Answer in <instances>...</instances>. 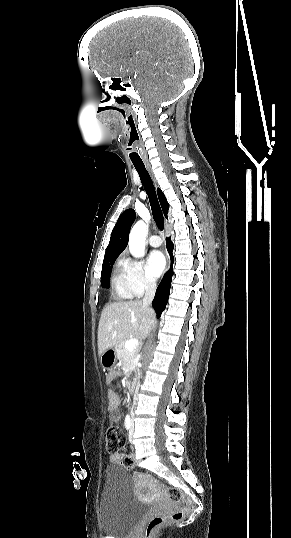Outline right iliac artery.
Instances as JSON below:
<instances>
[{
	"instance_id": "right-iliac-artery-1",
	"label": "right iliac artery",
	"mask_w": 291,
	"mask_h": 538,
	"mask_svg": "<svg viewBox=\"0 0 291 538\" xmlns=\"http://www.w3.org/2000/svg\"><path fill=\"white\" fill-rule=\"evenodd\" d=\"M130 426H131V419H130V416L127 415L126 418H125V428H126L127 430H129V429H130Z\"/></svg>"
}]
</instances>
